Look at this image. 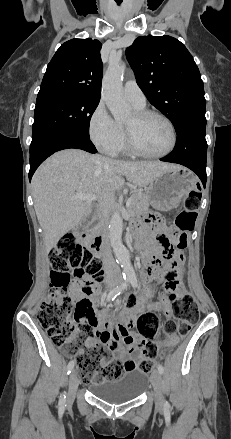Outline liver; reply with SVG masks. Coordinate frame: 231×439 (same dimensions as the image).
<instances>
[{
  "label": "liver",
  "mask_w": 231,
  "mask_h": 439,
  "mask_svg": "<svg viewBox=\"0 0 231 439\" xmlns=\"http://www.w3.org/2000/svg\"><path fill=\"white\" fill-rule=\"evenodd\" d=\"M178 167L158 161H120L79 149L53 154L36 170L31 182L46 253L91 207V201L73 200L75 194H93L104 208L113 202L115 191L124 185V177L134 188L145 187L161 173Z\"/></svg>",
  "instance_id": "obj_1"
}]
</instances>
